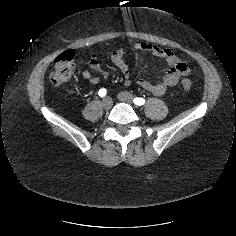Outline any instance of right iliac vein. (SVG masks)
<instances>
[{"mask_svg": "<svg viewBox=\"0 0 236 236\" xmlns=\"http://www.w3.org/2000/svg\"><path fill=\"white\" fill-rule=\"evenodd\" d=\"M113 105V101L110 97H105L103 100H102V106L104 109L106 110H109Z\"/></svg>", "mask_w": 236, "mask_h": 236, "instance_id": "right-iliac-vein-1", "label": "right iliac vein"}]
</instances>
